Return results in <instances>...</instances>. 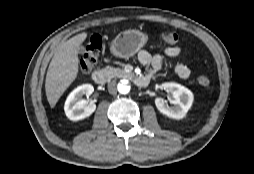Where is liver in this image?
Here are the masks:
<instances>
[{
	"label": "liver",
	"instance_id": "obj_1",
	"mask_svg": "<svg viewBox=\"0 0 254 174\" xmlns=\"http://www.w3.org/2000/svg\"><path fill=\"white\" fill-rule=\"evenodd\" d=\"M86 32L77 34L59 46L46 75L45 91L51 108L76 79L79 71V47L86 40Z\"/></svg>",
	"mask_w": 254,
	"mask_h": 174
}]
</instances>
